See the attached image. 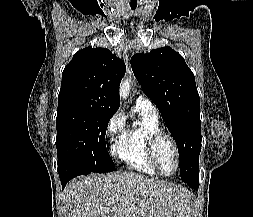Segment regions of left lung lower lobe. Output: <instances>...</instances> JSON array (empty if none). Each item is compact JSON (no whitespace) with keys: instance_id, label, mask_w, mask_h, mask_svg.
<instances>
[{"instance_id":"left-lung-lower-lobe-1","label":"left lung lower lobe","mask_w":253,"mask_h":217,"mask_svg":"<svg viewBox=\"0 0 253 217\" xmlns=\"http://www.w3.org/2000/svg\"><path fill=\"white\" fill-rule=\"evenodd\" d=\"M190 187L195 189V190H198L199 182L190 184Z\"/></svg>"}]
</instances>
